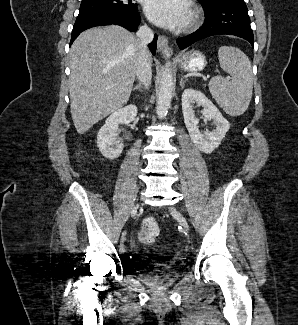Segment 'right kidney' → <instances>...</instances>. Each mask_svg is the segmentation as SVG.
I'll return each mask as SVG.
<instances>
[{
	"label": "right kidney",
	"instance_id": "right-kidney-1",
	"mask_svg": "<svg viewBox=\"0 0 298 325\" xmlns=\"http://www.w3.org/2000/svg\"><path fill=\"white\" fill-rule=\"evenodd\" d=\"M136 104H127L123 108H118L116 112H112L105 120V124L101 126L97 134V146L106 158H117L120 156L124 144L121 138H117V128L120 122L129 124L131 120H135L137 116Z\"/></svg>",
	"mask_w": 298,
	"mask_h": 325
}]
</instances>
